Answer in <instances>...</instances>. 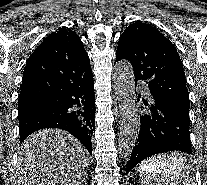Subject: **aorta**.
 I'll return each instance as SVG.
<instances>
[{
  "mask_svg": "<svg viewBox=\"0 0 207 185\" xmlns=\"http://www.w3.org/2000/svg\"><path fill=\"white\" fill-rule=\"evenodd\" d=\"M113 77L121 114L118 153L120 158L128 159L135 147L140 127L134 72L130 62L119 61L115 66Z\"/></svg>",
  "mask_w": 207,
  "mask_h": 185,
  "instance_id": "762f6f07",
  "label": "aorta"
}]
</instances>
